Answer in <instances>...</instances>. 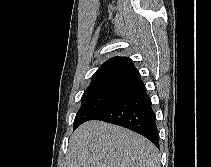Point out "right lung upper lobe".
Instances as JSON below:
<instances>
[{"label": "right lung upper lobe", "mask_w": 211, "mask_h": 167, "mask_svg": "<svg viewBox=\"0 0 211 167\" xmlns=\"http://www.w3.org/2000/svg\"><path fill=\"white\" fill-rule=\"evenodd\" d=\"M139 75L129 57H113L107 60L92 76L91 82L100 80H131Z\"/></svg>", "instance_id": "1"}]
</instances>
